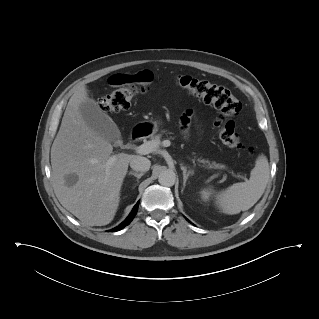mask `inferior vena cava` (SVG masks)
<instances>
[{
	"label": "inferior vena cava",
	"instance_id": "1",
	"mask_svg": "<svg viewBox=\"0 0 319 319\" xmlns=\"http://www.w3.org/2000/svg\"><path fill=\"white\" fill-rule=\"evenodd\" d=\"M150 166V160L142 156H134L130 161V167L135 171L146 172L149 170Z\"/></svg>",
	"mask_w": 319,
	"mask_h": 319
}]
</instances>
